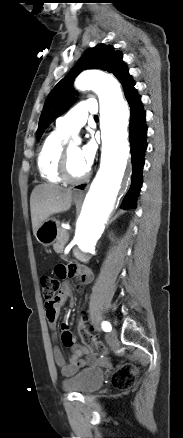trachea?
Instances as JSON below:
<instances>
[{
    "mask_svg": "<svg viewBox=\"0 0 183 438\" xmlns=\"http://www.w3.org/2000/svg\"><path fill=\"white\" fill-rule=\"evenodd\" d=\"M94 117H95V118H98V116H97V115H95Z\"/></svg>",
    "mask_w": 183,
    "mask_h": 438,
    "instance_id": "1",
    "label": "trachea"
}]
</instances>
